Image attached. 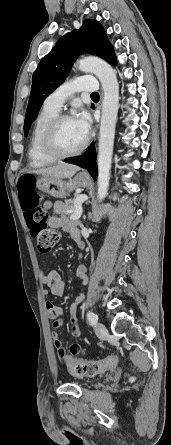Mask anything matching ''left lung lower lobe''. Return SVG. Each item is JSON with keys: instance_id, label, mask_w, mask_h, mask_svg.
Listing matches in <instances>:
<instances>
[{"instance_id": "0a47b994", "label": "left lung lower lobe", "mask_w": 171, "mask_h": 445, "mask_svg": "<svg viewBox=\"0 0 171 445\" xmlns=\"http://www.w3.org/2000/svg\"><path fill=\"white\" fill-rule=\"evenodd\" d=\"M93 108V107H92ZM64 162L76 164L82 168H87L94 180L97 178L96 150L94 144L88 147V150L77 157L64 160Z\"/></svg>"}]
</instances>
